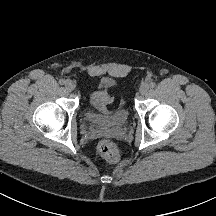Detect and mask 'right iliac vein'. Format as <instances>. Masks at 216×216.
<instances>
[{
	"mask_svg": "<svg viewBox=\"0 0 216 216\" xmlns=\"http://www.w3.org/2000/svg\"><path fill=\"white\" fill-rule=\"evenodd\" d=\"M65 88L68 90V91H73L74 90V88H75V85H74V83L71 81V80H67L66 82H65Z\"/></svg>",
	"mask_w": 216,
	"mask_h": 216,
	"instance_id": "right-iliac-vein-1",
	"label": "right iliac vein"
}]
</instances>
